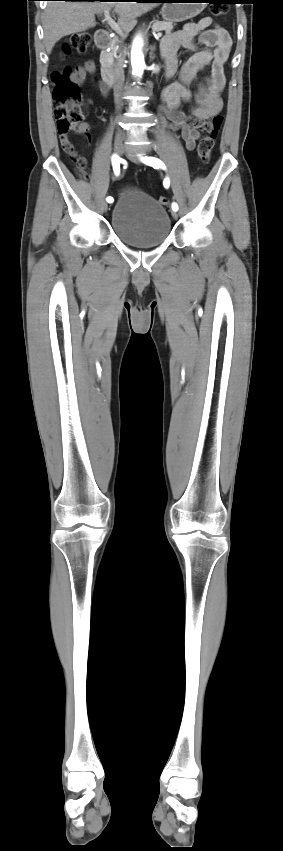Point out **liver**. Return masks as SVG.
Returning <instances> with one entry per match:
<instances>
[{"label":"liver","instance_id":"6515ba94","mask_svg":"<svg viewBox=\"0 0 283 851\" xmlns=\"http://www.w3.org/2000/svg\"><path fill=\"white\" fill-rule=\"evenodd\" d=\"M158 6V3L100 2V1H49L43 13L44 43L50 54L55 43L70 34L86 31L95 26V13L114 9L119 15L118 25L129 32L136 18Z\"/></svg>","mask_w":283,"mask_h":851}]
</instances>
